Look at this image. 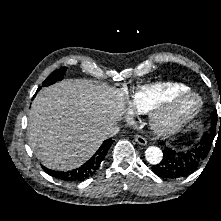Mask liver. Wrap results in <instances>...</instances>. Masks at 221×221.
I'll return each mask as SVG.
<instances>
[{
  "label": "liver",
  "mask_w": 221,
  "mask_h": 221,
  "mask_svg": "<svg viewBox=\"0 0 221 221\" xmlns=\"http://www.w3.org/2000/svg\"><path fill=\"white\" fill-rule=\"evenodd\" d=\"M125 97L106 83L69 79L41 91L29 112L28 140L51 169L71 170L87 161L121 120Z\"/></svg>",
  "instance_id": "1"
}]
</instances>
